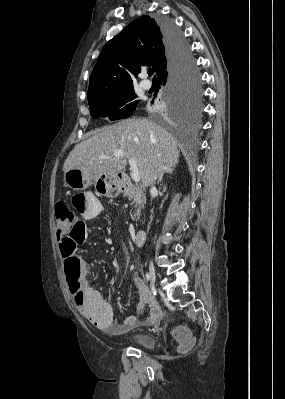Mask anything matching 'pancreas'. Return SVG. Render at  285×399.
<instances>
[{
    "instance_id": "pancreas-1",
    "label": "pancreas",
    "mask_w": 285,
    "mask_h": 399,
    "mask_svg": "<svg viewBox=\"0 0 285 399\" xmlns=\"http://www.w3.org/2000/svg\"><path fill=\"white\" fill-rule=\"evenodd\" d=\"M123 196L128 197V199L132 202V205L135 208L134 220L137 221L140 217L141 209L146 203V195L138 186L129 184L126 186Z\"/></svg>"
}]
</instances>
